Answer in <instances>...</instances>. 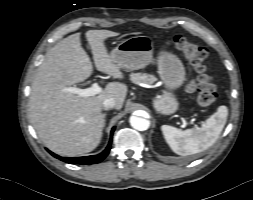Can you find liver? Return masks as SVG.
Segmentation results:
<instances>
[{"mask_svg":"<svg viewBox=\"0 0 253 200\" xmlns=\"http://www.w3.org/2000/svg\"><path fill=\"white\" fill-rule=\"evenodd\" d=\"M118 33L89 30L90 45L98 71L123 79L104 44ZM93 72L92 62L80 42V33L64 38L51 48L39 66L31 85L28 115L43 144L58 155L71 157L93 151L103 129L102 103L113 98L120 110L128 88L119 82L108 83L98 95L80 97L65 89L86 80Z\"/></svg>","mask_w":253,"mask_h":200,"instance_id":"liver-1","label":"liver"}]
</instances>
